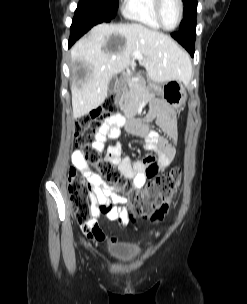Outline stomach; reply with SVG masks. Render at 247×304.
I'll use <instances>...</instances> for the list:
<instances>
[{"label": "stomach", "mask_w": 247, "mask_h": 304, "mask_svg": "<svg viewBox=\"0 0 247 304\" xmlns=\"http://www.w3.org/2000/svg\"><path fill=\"white\" fill-rule=\"evenodd\" d=\"M156 92L172 109L183 107L187 100L186 91L178 81H168L157 87Z\"/></svg>", "instance_id": "1"}]
</instances>
